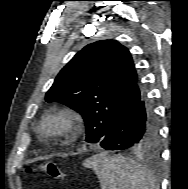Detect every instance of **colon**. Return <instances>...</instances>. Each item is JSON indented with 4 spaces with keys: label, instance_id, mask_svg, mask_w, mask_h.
<instances>
[{
    "label": "colon",
    "instance_id": "1",
    "mask_svg": "<svg viewBox=\"0 0 188 189\" xmlns=\"http://www.w3.org/2000/svg\"><path fill=\"white\" fill-rule=\"evenodd\" d=\"M28 172H41L53 179L63 181L66 177L65 173L61 170L59 165L53 161H43L36 167H30Z\"/></svg>",
    "mask_w": 188,
    "mask_h": 189
}]
</instances>
